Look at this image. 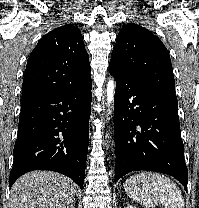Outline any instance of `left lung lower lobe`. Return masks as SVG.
<instances>
[{"mask_svg": "<svg viewBox=\"0 0 199 208\" xmlns=\"http://www.w3.org/2000/svg\"><path fill=\"white\" fill-rule=\"evenodd\" d=\"M115 182L136 170L165 173L187 191L188 170L175 94L145 84L114 65Z\"/></svg>", "mask_w": 199, "mask_h": 208, "instance_id": "0a47b994", "label": "left lung lower lobe"}]
</instances>
